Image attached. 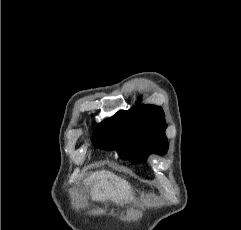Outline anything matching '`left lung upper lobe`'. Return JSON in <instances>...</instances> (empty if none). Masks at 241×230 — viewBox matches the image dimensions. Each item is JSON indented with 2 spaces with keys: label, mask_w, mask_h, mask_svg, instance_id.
Here are the masks:
<instances>
[{
  "label": "left lung upper lobe",
  "mask_w": 241,
  "mask_h": 230,
  "mask_svg": "<svg viewBox=\"0 0 241 230\" xmlns=\"http://www.w3.org/2000/svg\"><path fill=\"white\" fill-rule=\"evenodd\" d=\"M164 112L155 105H136L128 111H119L94 131L96 148L117 150L122 159L134 164L147 159L148 154H164L168 149Z\"/></svg>",
  "instance_id": "5c2ea615"
}]
</instances>
